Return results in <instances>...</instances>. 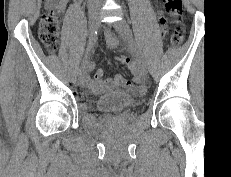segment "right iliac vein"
Segmentation results:
<instances>
[{
  "label": "right iliac vein",
  "instance_id": "obj_1",
  "mask_svg": "<svg viewBox=\"0 0 231 177\" xmlns=\"http://www.w3.org/2000/svg\"><path fill=\"white\" fill-rule=\"evenodd\" d=\"M89 23H90V30L93 32L94 30H97L99 27V14L97 9H93L90 11L89 14ZM88 78V67L87 62L83 61L80 70H79V76L78 81L80 84H84L87 81Z\"/></svg>",
  "mask_w": 231,
  "mask_h": 177
}]
</instances>
